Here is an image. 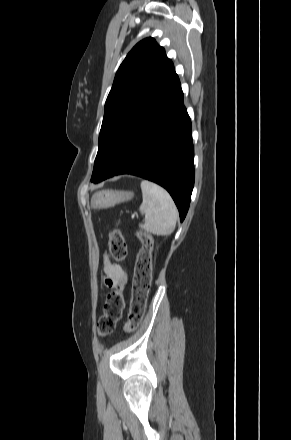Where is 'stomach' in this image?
I'll return each mask as SVG.
<instances>
[{
    "mask_svg": "<svg viewBox=\"0 0 291 440\" xmlns=\"http://www.w3.org/2000/svg\"><path fill=\"white\" fill-rule=\"evenodd\" d=\"M131 191L102 190L96 192L91 198L92 208H109L133 198Z\"/></svg>",
    "mask_w": 291,
    "mask_h": 440,
    "instance_id": "obj_1",
    "label": "stomach"
}]
</instances>
